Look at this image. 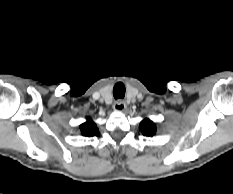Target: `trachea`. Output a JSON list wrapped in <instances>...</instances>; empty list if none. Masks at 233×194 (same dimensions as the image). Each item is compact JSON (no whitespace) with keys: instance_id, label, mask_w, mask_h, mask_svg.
<instances>
[{"instance_id":"obj_1","label":"trachea","mask_w":233,"mask_h":194,"mask_svg":"<svg viewBox=\"0 0 233 194\" xmlns=\"http://www.w3.org/2000/svg\"><path fill=\"white\" fill-rule=\"evenodd\" d=\"M125 86L123 83L118 82L114 85L113 96L115 99H123L125 96Z\"/></svg>"}]
</instances>
